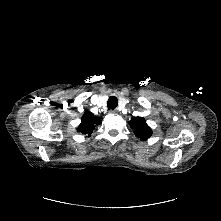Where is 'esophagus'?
Here are the masks:
<instances>
[{"label": "esophagus", "instance_id": "obj_1", "mask_svg": "<svg viewBox=\"0 0 221 221\" xmlns=\"http://www.w3.org/2000/svg\"><path fill=\"white\" fill-rule=\"evenodd\" d=\"M110 113H111V114H116L117 111H116V110H110Z\"/></svg>", "mask_w": 221, "mask_h": 221}]
</instances>
